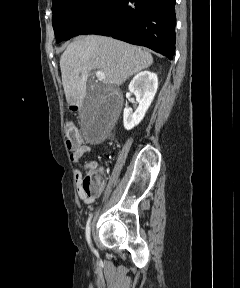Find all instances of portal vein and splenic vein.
Listing matches in <instances>:
<instances>
[{
	"label": "portal vein and splenic vein",
	"instance_id": "18ae733b",
	"mask_svg": "<svg viewBox=\"0 0 240 288\" xmlns=\"http://www.w3.org/2000/svg\"><path fill=\"white\" fill-rule=\"evenodd\" d=\"M96 77H97L98 79H100V80H104V79H105V75H104V73L101 72V71H97V72H96Z\"/></svg>",
	"mask_w": 240,
	"mask_h": 288
}]
</instances>
